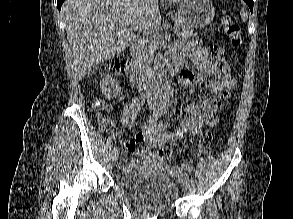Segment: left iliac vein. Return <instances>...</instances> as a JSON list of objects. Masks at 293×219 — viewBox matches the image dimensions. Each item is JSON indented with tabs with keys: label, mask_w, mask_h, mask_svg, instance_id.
<instances>
[{
	"label": "left iliac vein",
	"mask_w": 293,
	"mask_h": 219,
	"mask_svg": "<svg viewBox=\"0 0 293 219\" xmlns=\"http://www.w3.org/2000/svg\"><path fill=\"white\" fill-rule=\"evenodd\" d=\"M164 105V101H161L159 103V107H163ZM183 185L185 186V188L187 189L189 187V178H188V175L186 173H184V176H183Z\"/></svg>",
	"instance_id": "4c4485c4"
}]
</instances>
